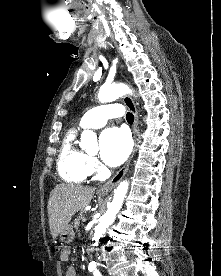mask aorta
I'll return each mask as SVG.
<instances>
[{
  "mask_svg": "<svg viewBox=\"0 0 221 276\" xmlns=\"http://www.w3.org/2000/svg\"><path fill=\"white\" fill-rule=\"evenodd\" d=\"M126 93H131V90L124 84L102 86L98 93V99L101 103L111 102ZM96 139V134L93 131L85 130L81 134V145L88 147L91 144H95ZM128 187L129 182L124 180L114 190L113 200L107 205L106 213L99 219V223L95 228L93 240H95L96 244L102 237L103 232L114 222L117 213L122 207Z\"/></svg>",
  "mask_w": 221,
  "mask_h": 276,
  "instance_id": "obj_1",
  "label": "aorta"
}]
</instances>
